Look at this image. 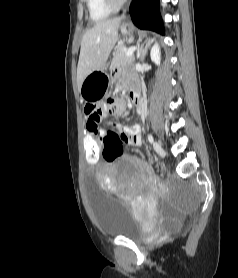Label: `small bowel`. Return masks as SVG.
<instances>
[{"label": "small bowel", "mask_w": 238, "mask_h": 278, "mask_svg": "<svg viewBox=\"0 0 238 278\" xmlns=\"http://www.w3.org/2000/svg\"><path fill=\"white\" fill-rule=\"evenodd\" d=\"M117 79L122 83L132 85L131 78L125 74H117ZM133 98V93H132ZM126 109V104L117 100H106V104H88L85 108L86 121V137L90 133H94L95 137H105V144H114L115 142L127 143L132 146H139L142 143L140 126L132 124L128 126H118L113 129L104 130L100 128V124L104 117L111 113L113 116H120ZM96 163V162H90ZM140 167H145L144 163L138 162Z\"/></svg>", "instance_id": "small-bowel-1"}]
</instances>
